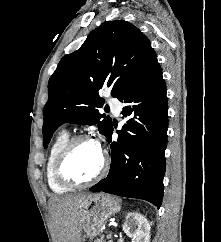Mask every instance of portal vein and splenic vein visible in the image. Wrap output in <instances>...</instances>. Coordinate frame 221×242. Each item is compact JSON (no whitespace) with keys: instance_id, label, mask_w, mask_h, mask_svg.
<instances>
[{"instance_id":"18ae733b","label":"portal vein and splenic vein","mask_w":221,"mask_h":242,"mask_svg":"<svg viewBox=\"0 0 221 242\" xmlns=\"http://www.w3.org/2000/svg\"><path fill=\"white\" fill-rule=\"evenodd\" d=\"M111 237V234H109L108 236H107V238H110Z\"/></svg>"}]
</instances>
